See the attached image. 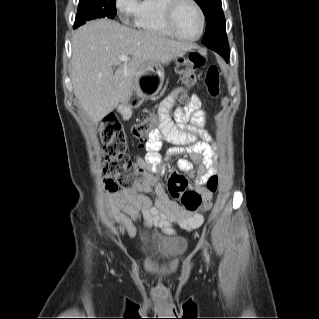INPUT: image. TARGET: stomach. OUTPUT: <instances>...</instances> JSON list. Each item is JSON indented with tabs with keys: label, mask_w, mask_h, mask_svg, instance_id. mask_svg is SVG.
Instances as JSON below:
<instances>
[{
	"label": "stomach",
	"mask_w": 319,
	"mask_h": 319,
	"mask_svg": "<svg viewBox=\"0 0 319 319\" xmlns=\"http://www.w3.org/2000/svg\"><path fill=\"white\" fill-rule=\"evenodd\" d=\"M164 81V71L159 64L147 62L137 71L134 83L137 95L141 98H147L156 95Z\"/></svg>",
	"instance_id": "stomach-1"
}]
</instances>
